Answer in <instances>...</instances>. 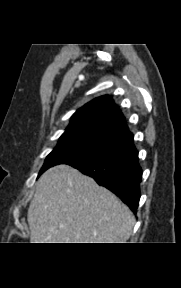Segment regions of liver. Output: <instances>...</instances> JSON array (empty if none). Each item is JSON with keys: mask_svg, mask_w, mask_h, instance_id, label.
Masks as SVG:
<instances>
[{"mask_svg": "<svg viewBox=\"0 0 181 288\" xmlns=\"http://www.w3.org/2000/svg\"><path fill=\"white\" fill-rule=\"evenodd\" d=\"M27 219L32 243H126L135 224L113 193L64 164L39 178Z\"/></svg>", "mask_w": 181, "mask_h": 288, "instance_id": "1", "label": "liver"}]
</instances>
